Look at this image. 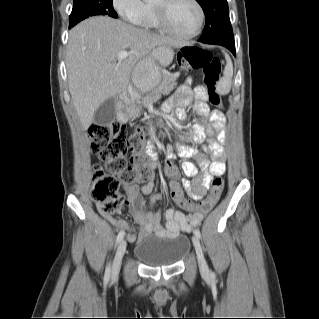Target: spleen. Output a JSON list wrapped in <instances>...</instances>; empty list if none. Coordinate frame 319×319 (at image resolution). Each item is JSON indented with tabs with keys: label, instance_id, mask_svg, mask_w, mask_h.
<instances>
[{
	"label": "spleen",
	"instance_id": "obj_1",
	"mask_svg": "<svg viewBox=\"0 0 319 319\" xmlns=\"http://www.w3.org/2000/svg\"><path fill=\"white\" fill-rule=\"evenodd\" d=\"M226 66L223 71V77L217 83V92L221 95H227L232 86L233 64L230 57L225 54Z\"/></svg>",
	"mask_w": 319,
	"mask_h": 319
}]
</instances>
